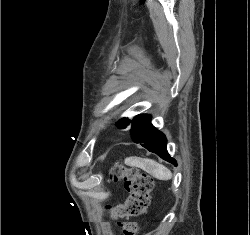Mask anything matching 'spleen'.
<instances>
[{"label": "spleen", "instance_id": "spleen-1", "mask_svg": "<svg viewBox=\"0 0 250 235\" xmlns=\"http://www.w3.org/2000/svg\"><path fill=\"white\" fill-rule=\"evenodd\" d=\"M125 164L141 168L159 180L166 181L172 178V173L167 167L151 159L131 157L125 159Z\"/></svg>", "mask_w": 250, "mask_h": 235}]
</instances>
